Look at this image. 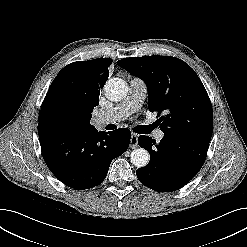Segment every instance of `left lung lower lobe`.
Returning a JSON list of instances; mask_svg holds the SVG:
<instances>
[{
	"mask_svg": "<svg viewBox=\"0 0 247 247\" xmlns=\"http://www.w3.org/2000/svg\"><path fill=\"white\" fill-rule=\"evenodd\" d=\"M150 154L147 166L136 171L139 181L158 192H172L187 184L205 162L209 142L166 135L159 144L149 136L138 138Z\"/></svg>",
	"mask_w": 247,
	"mask_h": 247,
	"instance_id": "obj_1",
	"label": "left lung lower lobe"
}]
</instances>
